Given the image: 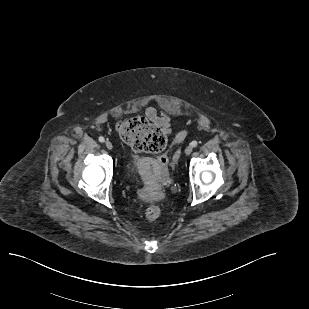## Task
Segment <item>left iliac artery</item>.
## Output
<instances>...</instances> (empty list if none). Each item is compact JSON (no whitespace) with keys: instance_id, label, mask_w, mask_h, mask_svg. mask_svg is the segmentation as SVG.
I'll use <instances>...</instances> for the list:
<instances>
[{"instance_id":"obj_1","label":"left iliac artery","mask_w":309,"mask_h":309,"mask_svg":"<svg viewBox=\"0 0 309 309\" xmlns=\"http://www.w3.org/2000/svg\"><path fill=\"white\" fill-rule=\"evenodd\" d=\"M197 144H198V143H197V141H195V140L191 142V146H192V147H196Z\"/></svg>"}]
</instances>
